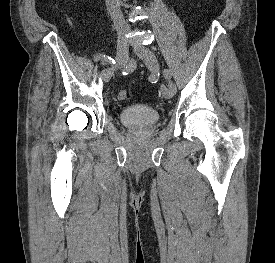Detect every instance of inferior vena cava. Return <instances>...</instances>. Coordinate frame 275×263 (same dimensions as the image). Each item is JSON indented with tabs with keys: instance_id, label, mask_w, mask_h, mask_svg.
I'll return each instance as SVG.
<instances>
[{
	"instance_id": "602c4592",
	"label": "inferior vena cava",
	"mask_w": 275,
	"mask_h": 263,
	"mask_svg": "<svg viewBox=\"0 0 275 263\" xmlns=\"http://www.w3.org/2000/svg\"><path fill=\"white\" fill-rule=\"evenodd\" d=\"M105 3L116 30L119 33L129 31L130 28L122 15L119 0H105Z\"/></svg>"
}]
</instances>
